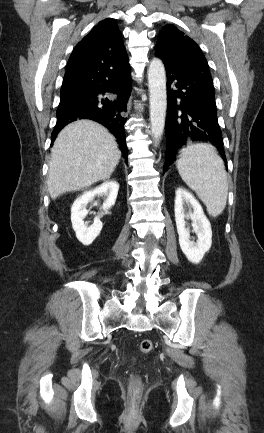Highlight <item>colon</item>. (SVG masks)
<instances>
[{
    "mask_svg": "<svg viewBox=\"0 0 264 433\" xmlns=\"http://www.w3.org/2000/svg\"><path fill=\"white\" fill-rule=\"evenodd\" d=\"M154 348L153 342L149 339H144L139 344V350L142 354L150 353Z\"/></svg>",
    "mask_w": 264,
    "mask_h": 433,
    "instance_id": "colon-1",
    "label": "colon"
}]
</instances>
